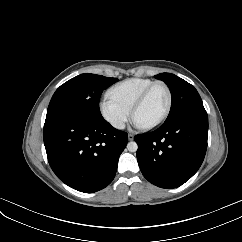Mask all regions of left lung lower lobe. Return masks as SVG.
<instances>
[{
    "mask_svg": "<svg viewBox=\"0 0 242 242\" xmlns=\"http://www.w3.org/2000/svg\"><path fill=\"white\" fill-rule=\"evenodd\" d=\"M205 109L185 112L157 130L137 135V160L143 176L162 188H176L200 168L207 149Z\"/></svg>",
    "mask_w": 242,
    "mask_h": 242,
    "instance_id": "obj_1",
    "label": "left lung lower lobe"
}]
</instances>
